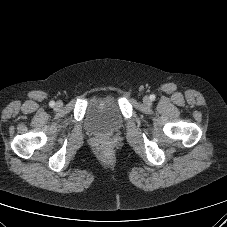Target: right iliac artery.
<instances>
[{
    "mask_svg": "<svg viewBox=\"0 0 227 227\" xmlns=\"http://www.w3.org/2000/svg\"><path fill=\"white\" fill-rule=\"evenodd\" d=\"M49 105H50V107H54L55 106V102L54 101H50Z\"/></svg>",
    "mask_w": 227,
    "mask_h": 227,
    "instance_id": "1",
    "label": "right iliac artery"
}]
</instances>
